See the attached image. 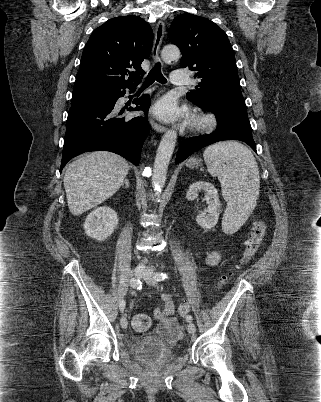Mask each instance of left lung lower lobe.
<instances>
[{
  "label": "left lung lower lobe",
  "mask_w": 321,
  "mask_h": 402,
  "mask_svg": "<svg viewBox=\"0 0 321 402\" xmlns=\"http://www.w3.org/2000/svg\"><path fill=\"white\" fill-rule=\"evenodd\" d=\"M205 109L215 114L217 130L212 134L186 138L177 152L176 163L184 161L201 148L223 140L244 141L256 152L243 96L217 98Z\"/></svg>",
  "instance_id": "left-lung-lower-lobe-1"
}]
</instances>
